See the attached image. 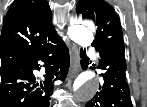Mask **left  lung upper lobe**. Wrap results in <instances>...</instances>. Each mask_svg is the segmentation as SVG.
Segmentation results:
<instances>
[{"label":"left lung upper lobe","mask_w":147,"mask_h":107,"mask_svg":"<svg viewBox=\"0 0 147 107\" xmlns=\"http://www.w3.org/2000/svg\"><path fill=\"white\" fill-rule=\"evenodd\" d=\"M76 12L83 18L92 19L97 26L96 38L92 44L97 51L115 44H123L120 19L106 1L79 0Z\"/></svg>","instance_id":"obj_1"}]
</instances>
